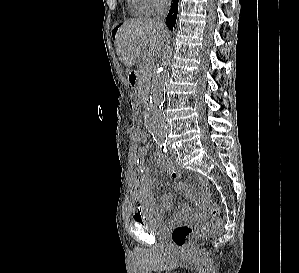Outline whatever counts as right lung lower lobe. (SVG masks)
Returning a JSON list of instances; mask_svg holds the SVG:
<instances>
[{
    "label": "right lung lower lobe",
    "mask_w": 299,
    "mask_h": 273,
    "mask_svg": "<svg viewBox=\"0 0 299 273\" xmlns=\"http://www.w3.org/2000/svg\"><path fill=\"white\" fill-rule=\"evenodd\" d=\"M178 2L179 0H172L171 9L166 18V24L170 30H172L173 26H175L177 12H178Z\"/></svg>",
    "instance_id": "1"
}]
</instances>
